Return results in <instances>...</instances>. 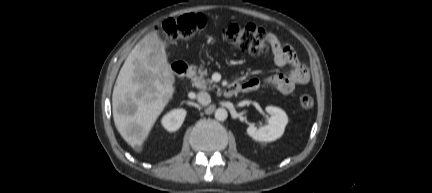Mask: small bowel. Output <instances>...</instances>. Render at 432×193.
<instances>
[{"label": "small bowel", "mask_w": 432, "mask_h": 193, "mask_svg": "<svg viewBox=\"0 0 432 193\" xmlns=\"http://www.w3.org/2000/svg\"><path fill=\"white\" fill-rule=\"evenodd\" d=\"M269 36L271 38V50L274 63L279 67L288 66L289 70L266 78L264 83L283 94H290L297 85L308 83L310 79L308 68L298 61L294 51L288 45L281 43L271 32ZM236 84L240 85V91L248 92L257 90L261 82L256 78H250L242 83Z\"/></svg>", "instance_id": "1"}]
</instances>
